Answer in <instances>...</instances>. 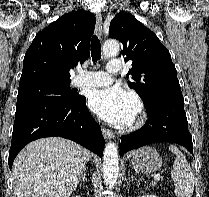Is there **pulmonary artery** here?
I'll list each match as a JSON object with an SVG mask.
<instances>
[{"label":"pulmonary artery","mask_w":209,"mask_h":197,"mask_svg":"<svg viewBox=\"0 0 209 197\" xmlns=\"http://www.w3.org/2000/svg\"><path fill=\"white\" fill-rule=\"evenodd\" d=\"M119 59L111 60L106 71H88L82 77L75 79V85L78 87H100L106 86L112 82V75L120 71Z\"/></svg>","instance_id":"obj_1"}]
</instances>
